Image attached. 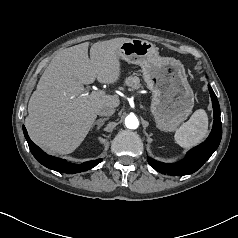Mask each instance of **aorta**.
I'll return each mask as SVG.
<instances>
[{"label":"aorta","mask_w":238,"mask_h":238,"mask_svg":"<svg viewBox=\"0 0 238 238\" xmlns=\"http://www.w3.org/2000/svg\"><path fill=\"white\" fill-rule=\"evenodd\" d=\"M125 126L128 129H137L139 126V120L134 114H129L125 118Z\"/></svg>","instance_id":"obj_1"}]
</instances>
